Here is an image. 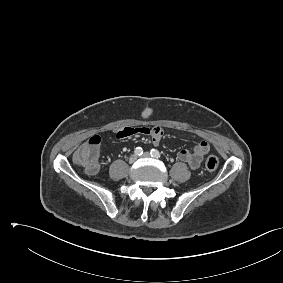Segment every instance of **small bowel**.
I'll return each mask as SVG.
<instances>
[{
  "instance_id": "obj_1",
  "label": "small bowel",
  "mask_w": 283,
  "mask_h": 283,
  "mask_svg": "<svg viewBox=\"0 0 283 283\" xmlns=\"http://www.w3.org/2000/svg\"><path fill=\"white\" fill-rule=\"evenodd\" d=\"M115 136L117 139H124L136 134H145L151 137L154 145H157L162 136L163 130L160 127H121L115 129ZM210 150V145L207 141H200L192 149L180 150L177 158L188 164L192 169H196L201 164L203 157ZM96 172V171H95ZM92 172V173H95Z\"/></svg>"
}]
</instances>
